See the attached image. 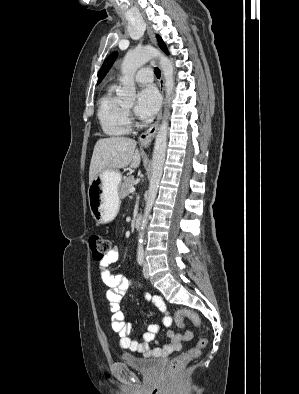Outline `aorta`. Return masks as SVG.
Here are the masks:
<instances>
[{"label": "aorta", "mask_w": 299, "mask_h": 394, "mask_svg": "<svg viewBox=\"0 0 299 394\" xmlns=\"http://www.w3.org/2000/svg\"><path fill=\"white\" fill-rule=\"evenodd\" d=\"M158 57L159 64L163 71L165 78V110L162 119V123L159 127L158 133L156 135L154 150H153V162H152V176L150 179L148 197L146 200V205L144 209V215L141 222V231L138 237V249L137 254L142 256L144 253V232L148 222L149 214L151 212L152 206L156 199L157 191L159 188L160 180L162 177L163 166L166 157L167 148V133H168V116H169V105L171 101V96L174 89V68L171 60L161 54L157 49L153 47H144L141 49H136L129 51L122 62L121 72H122V89L119 92V96L128 102H133L136 96V88L134 82V75L136 71L145 63L151 59Z\"/></svg>", "instance_id": "obj_1"}]
</instances>
